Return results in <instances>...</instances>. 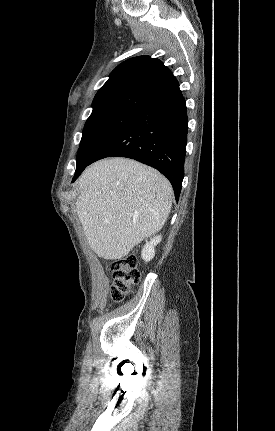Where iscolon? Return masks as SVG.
I'll return each mask as SVG.
<instances>
[{"label": "colon", "instance_id": "1", "mask_svg": "<svg viewBox=\"0 0 275 431\" xmlns=\"http://www.w3.org/2000/svg\"><path fill=\"white\" fill-rule=\"evenodd\" d=\"M111 271L113 282L110 295L113 301L120 302L132 293L134 285L140 279L135 256L127 255L120 260L113 261Z\"/></svg>", "mask_w": 275, "mask_h": 431}]
</instances>
